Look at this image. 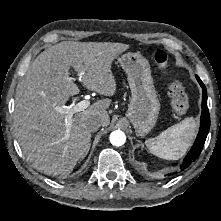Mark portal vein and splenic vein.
I'll list each match as a JSON object with an SVG mask.
<instances>
[{
	"instance_id": "obj_1",
	"label": "portal vein and splenic vein",
	"mask_w": 221,
	"mask_h": 221,
	"mask_svg": "<svg viewBox=\"0 0 221 221\" xmlns=\"http://www.w3.org/2000/svg\"><path fill=\"white\" fill-rule=\"evenodd\" d=\"M89 106H90V102L88 100H82L79 103H77L76 105L73 104L68 107L63 106V107L57 109V111L62 114H65L67 116L66 125L69 128L71 126V118H72L73 114L84 111Z\"/></svg>"
}]
</instances>
